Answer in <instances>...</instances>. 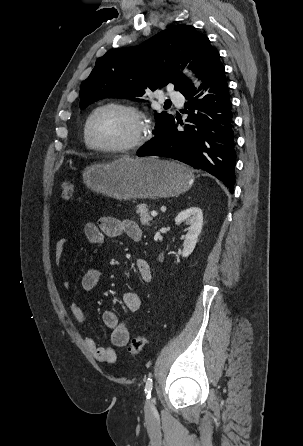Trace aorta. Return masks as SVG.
<instances>
[{
    "label": "aorta",
    "mask_w": 303,
    "mask_h": 446,
    "mask_svg": "<svg viewBox=\"0 0 303 446\" xmlns=\"http://www.w3.org/2000/svg\"><path fill=\"white\" fill-rule=\"evenodd\" d=\"M187 73H188V76L192 79L194 85L197 87V86L200 84V82L198 81V79L195 78V76L192 74V72H187Z\"/></svg>",
    "instance_id": "1"
}]
</instances>
